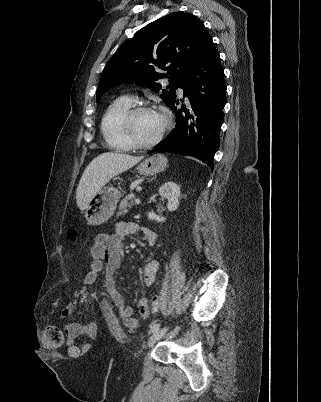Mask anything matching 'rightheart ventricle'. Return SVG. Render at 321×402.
Listing matches in <instances>:
<instances>
[{"mask_svg":"<svg viewBox=\"0 0 321 402\" xmlns=\"http://www.w3.org/2000/svg\"><path fill=\"white\" fill-rule=\"evenodd\" d=\"M133 104L126 98L120 97L110 103L103 113L100 130L105 144L114 151L127 152L133 149L125 139L121 128L122 117Z\"/></svg>","mask_w":321,"mask_h":402,"instance_id":"right-heart-ventricle-1","label":"right heart ventricle"}]
</instances>
